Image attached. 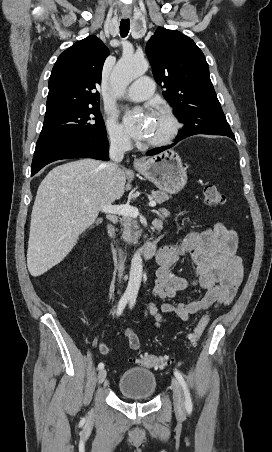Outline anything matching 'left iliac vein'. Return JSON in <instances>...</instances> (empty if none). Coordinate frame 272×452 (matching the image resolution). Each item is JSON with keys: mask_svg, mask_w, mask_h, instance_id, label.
<instances>
[{"mask_svg": "<svg viewBox=\"0 0 272 452\" xmlns=\"http://www.w3.org/2000/svg\"><path fill=\"white\" fill-rule=\"evenodd\" d=\"M171 387L173 391V400H174V406L175 410L178 414H184L185 413V402H184V396L182 392V388L177 381L176 378L171 379Z\"/></svg>", "mask_w": 272, "mask_h": 452, "instance_id": "4c4485c4", "label": "left iliac vein"}]
</instances>
